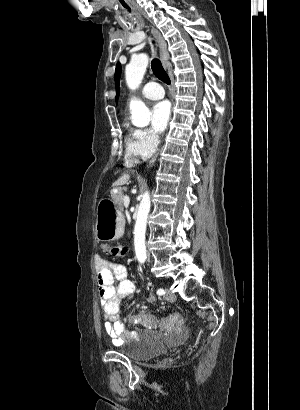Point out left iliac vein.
<instances>
[{
  "mask_svg": "<svg viewBox=\"0 0 300 410\" xmlns=\"http://www.w3.org/2000/svg\"><path fill=\"white\" fill-rule=\"evenodd\" d=\"M164 298H165V300L170 301V302L176 300L175 294H173L169 289L165 290Z\"/></svg>",
  "mask_w": 300,
  "mask_h": 410,
  "instance_id": "obj_1",
  "label": "left iliac vein"
}]
</instances>
